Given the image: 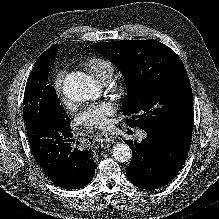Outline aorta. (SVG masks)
Here are the masks:
<instances>
[{
    "instance_id": "1",
    "label": "aorta",
    "mask_w": 219,
    "mask_h": 219,
    "mask_svg": "<svg viewBox=\"0 0 219 219\" xmlns=\"http://www.w3.org/2000/svg\"><path fill=\"white\" fill-rule=\"evenodd\" d=\"M63 91L69 99L83 102L94 99L99 90L92 77L78 72L65 78ZM112 153L118 162H129L132 159V150L126 143L115 144Z\"/></svg>"
}]
</instances>
